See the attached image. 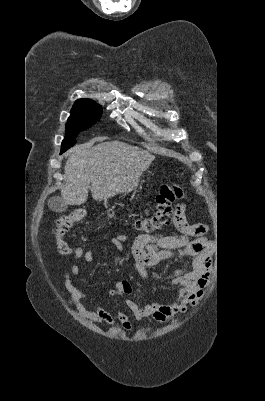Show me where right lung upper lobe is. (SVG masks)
Instances as JSON below:
<instances>
[{
  "instance_id": "obj_1",
  "label": "right lung upper lobe",
  "mask_w": 265,
  "mask_h": 401,
  "mask_svg": "<svg viewBox=\"0 0 265 401\" xmlns=\"http://www.w3.org/2000/svg\"><path fill=\"white\" fill-rule=\"evenodd\" d=\"M96 104L93 100L90 99H78L75 101L73 106H79V105H92Z\"/></svg>"
}]
</instances>
